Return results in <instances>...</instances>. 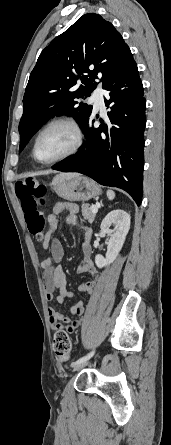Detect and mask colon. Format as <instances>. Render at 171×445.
I'll return each mask as SVG.
<instances>
[{
  "label": "colon",
  "mask_w": 171,
  "mask_h": 445,
  "mask_svg": "<svg viewBox=\"0 0 171 445\" xmlns=\"http://www.w3.org/2000/svg\"><path fill=\"white\" fill-rule=\"evenodd\" d=\"M47 186L45 183L26 179L16 184V195L24 212L29 231L38 241L44 240L46 218L42 208L46 204ZM53 349L60 361H67L71 352V343L67 332L57 329L53 338Z\"/></svg>",
  "instance_id": "5ec220e1"
}]
</instances>
